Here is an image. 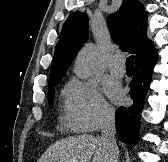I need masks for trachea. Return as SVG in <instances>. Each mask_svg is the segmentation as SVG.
I'll return each mask as SVG.
<instances>
[{
    "label": "trachea",
    "instance_id": "obj_1",
    "mask_svg": "<svg viewBox=\"0 0 168 162\" xmlns=\"http://www.w3.org/2000/svg\"><path fill=\"white\" fill-rule=\"evenodd\" d=\"M126 67H134V56L131 55L126 60Z\"/></svg>",
    "mask_w": 168,
    "mask_h": 162
}]
</instances>
